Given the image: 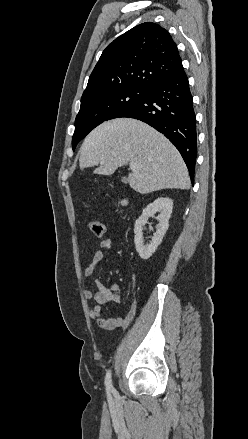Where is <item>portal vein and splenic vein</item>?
Masks as SVG:
<instances>
[{
	"label": "portal vein and splenic vein",
	"instance_id": "portal-vein-and-splenic-vein-1",
	"mask_svg": "<svg viewBox=\"0 0 248 439\" xmlns=\"http://www.w3.org/2000/svg\"><path fill=\"white\" fill-rule=\"evenodd\" d=\"M129 166H130V169H132V170H137V169H139L137 163H134V162H131V163L129 164Z\"/></svg>",
	"mask_w": 248,
	"mask_h": 439
}]
</instances>
